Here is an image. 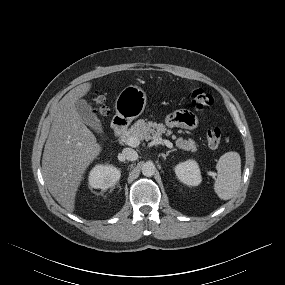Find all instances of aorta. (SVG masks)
<instances>
[{
	"mask_svg": "<svg viewBox=\"0 0 285 285\" xmlns=\"http://www.w3.org/2000/svg\"><path fill=\"white\" fill-rule=\"evenodd\" d=\"M155 171H156V167L155 165L148 161L146 163L143 164L142 166V174L146 177H151L155 174Z\"/></svg>",
	"mask_w": 285,
	"mask_h": 285,
	"instance_id": "762f6f07",
	"label": "aorta"
}]
</instances>
